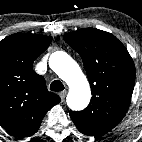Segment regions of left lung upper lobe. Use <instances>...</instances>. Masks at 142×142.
I'll return each mask as SVG.
<instances>
[{
	"label": "left lung upper lobe",
	"mask_w": 142,
	"mask_h": 142,
	"mask_svg": "<svg viewBox=\"0 0 142 142\" xmlns=\"http://www.w3.org/2000/svg\"><path fill=\"white\" fill-rule=\"evenodd\" d=\"M64 40L83 60L92 98L83 111H70L77 129L97 136L116 127L130 105L135 66L125 46L112 34L94 28L66 33Z\"/></svg>",
	"instance_id": "obj_1"
}]
</instances>
